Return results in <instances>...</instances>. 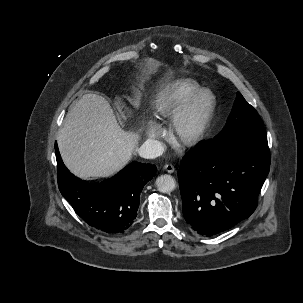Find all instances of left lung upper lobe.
<instances>
[{"label": "left lung upper lobe", "mask_w": 303, "mask_h": 303, "mask_svg": "<svg viewBox=\"0 0 303 303\" xmlns=\"http://www.w3.org/2000/svg\"><path fill=\"white\" fill-rule=\"evenodd\" d=\"M229 140L269 151L266 131L260 116L239 92L226 125L212 142L222 143Z\"/></svg>", "instance_id": "left-lung-upper-lobe-1"}]
</instances>
